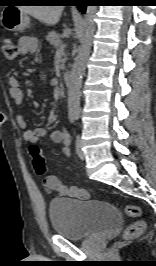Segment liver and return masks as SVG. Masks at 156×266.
Returning <instances> with one entry per match:
<instances>
[{"mask_svg":"<svg viewBox=\"0 0 156 266\" xmlns=\"http://www.w3.org/2000/svg\"><path fill=\"white\" fill-rule=\"evenodd\" d=\"M64 6H22L20 10L46 25H55L62 14Z\"/></svg>","mask_w":156,"mask_h":266,"instance_id":"obj_1","label":"liver"}]
</instances>
